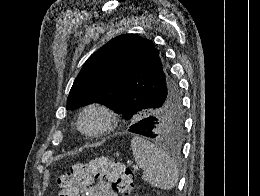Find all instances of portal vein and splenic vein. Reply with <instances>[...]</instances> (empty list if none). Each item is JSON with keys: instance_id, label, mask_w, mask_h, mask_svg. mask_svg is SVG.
Instances as JSON below:
<instances>
[{"instance_id": "1", "label": "portal vein and splenic vein", "mask_w": 260, "mask_h": 196, "mask_svg": "<svg viewBox=\"0 0 260 196\" xmlns=\"http://www.w3.org/2000/svg\"><path fill=\"white\" fill-rule=\"evenodd\" d=\"M134 170H139V168H137V166H133Z\"/></svg>"}]
</instances>
